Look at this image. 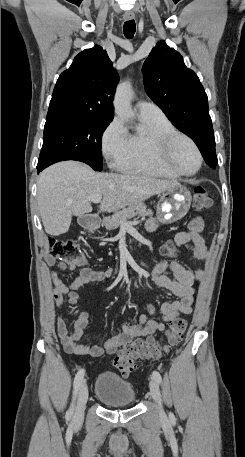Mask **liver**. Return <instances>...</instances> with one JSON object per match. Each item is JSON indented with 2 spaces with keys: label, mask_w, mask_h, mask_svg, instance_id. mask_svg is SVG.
<instances>
[{
  "label": "liver",
  "mask_w": 245,
  "mask_h": 457,
  "mask_svg": "<svg viewBox=\"0 0 245 457\" xmlns=\"http://www.w3.org/2000/svg\"><path fill=\"white\" fill-rule=\"evenodd\" d=\"M176 184L180 182L150 178L146 174L95 172L83 162L63 160L40 172L37 202L46 233L58 237L67 233L72 214L83 216L84 212H91L88 198L99 192L103 196L99 208L116 212Z\"/></svg>",
  "instance_id": "1"
}]
</instances>
